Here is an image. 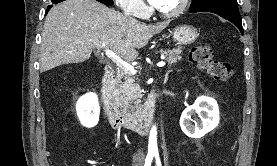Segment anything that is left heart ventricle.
Instances as JSON below:
<instances>
[{
	"instance_id": "1",
	"label": "left heart ventricle",
	"mask_w": 277,
	"mask_h": 166,
	"mask_svg": "<svg viewBox=\"0 0 277 166\" xmlns=\"http://www.w3.org/2000/svg\"><path fill=\"white\" fill-rule=\"evenodd\" d=\"M180 3V0H163L162 4L157 7L161 11H170L176 8Z\"/></svg>"
}]
</instances>
